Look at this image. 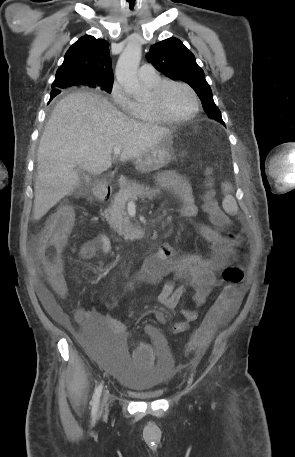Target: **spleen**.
<instances>
[{"label": "spleen", "instance_id": "1", "mask_svg": "<svg viewBox=\"0 0 295 457\" xmlns=\"http://www.w3.org/2000/svg\"><path fill=\"white\" fill-rule=\"evenodd\" d=\"M232 189L231 185L229 183H224L223 184V190L225 192H230ZM223 209L225 210L226 213L228 214H235L238 210V206L236 203V200L232 195H226L225 199L223 200L222 203Z\"/></svg>", "mask_w": 295, "mask_h": 457}]
</instances>
